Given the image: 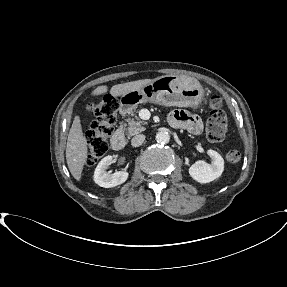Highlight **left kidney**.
Returning a JSON list of instances; mask_svg holds the SVG:
<instances>
[{
    "mask_svg": "<svg viewBox=\"0 0 287 287\" xmlns=\"http://www.w3.org/2000/svg\"><path fill=\"white\" fill-rule=\"evenodd\" d=\"M207 154L211 164L199 160L189 168L190 176L199 183H209L219 178L224 170V160L218 152L209 149Z\"/></svg>",
    "mask_w": 287,
    "mask_h": 287,
    "instance_id": "5707ae66",
    "label": "left kidney"
}]
</instances>
